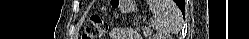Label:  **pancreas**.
I'll return each instance as SVG.
<instances>
[{"label":"pancreas","instance_id":"obj_1","mask_svg":"<svg viewBox=\"0 0 249 39\" xmlns=\"http://www.w3.org/2000/svg\"><path fill=\"white\" fill-rule=\"evenodd\" d=\"M142 31H143L144 35H146V36L148 35V30L146 28H142Z\"/></svg>","mask_w":249,"mask_h":39}]
</instances>
